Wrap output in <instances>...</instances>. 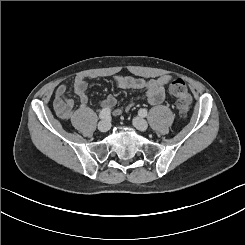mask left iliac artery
Returning a JSON list of instances; mask_svg holds the SVG:
<instances>
[{"label":"left iliac artery","mask_w":245,"mask_h":245,"mask_svg":"<svg viewBox=\"0 0 245 245\" xmlns=\"http://www.w3.org/2000/svg\"><path fill=\"white\" fill-rule=\"evenodd\" d=\"M138 113H139L140 116H143V117L147 116V110L146 109L142 108V109L139 110Z\"/></svg>","instance_id":"left-iliac-artery-1"}]
</instances>
